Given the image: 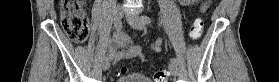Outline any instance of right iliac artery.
Here are the masks:
<instances>
[{
  "mask_svg": "<svg viewBox=\"0 0 279 82\" xmlns=\"http://www.w3.org/2000/svg\"><path fill=\"white\" fill-rule=\"evenodd\" d=\"M114 28H115V32L113 33V37H117L119 35V32L122 28V24L120 22V20L118 19H114ZM106 58H111L109 54H107V57Z\"/></svg>",
  "mask_w": 279,
  "mask_h": 82,
  "instance_id": "1",
  "label": "right iliac artery"
}]
</instances>
